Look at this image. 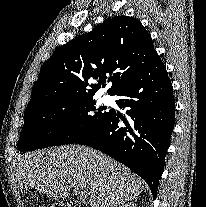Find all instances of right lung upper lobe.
<instances>
[{"label": "right lung upper lobe", "instance_id": "cb5924a9", "mask_svg": "<svg viewBox=\"0 0 206 207\" xmlns=\"http://www.w3.org/2000/svg\"><path fill=\"white\" fill-rule=\"evenodd\" d=\"M157 55L151 35L140 21L113 17L53 53L41 68L25 112L48 102L91 97L105 82L106 74L112 83L107 92L113 95ZM93 80H99L98 84L91 83Z\"/></svg>", "mask_w": 206, "mask_h": 207}]
</instances>
